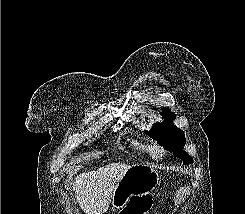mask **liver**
Wrapping results in <instances>:
<instances>
[{"mask_svg": "<svg viewBox=\"0 0 245 214\" xmlns=\"http://www.w3.org/2000/svg\"><path fill=\"white\" fill-rule=\"evenodd\" d=\"M131 167L124 163H111L75 177L73 191L85 214H102L108 210L118 182Z\"/></svg>", "mask_w": 245, "mask_h": 214, "instance_id": "obj_1", "label": "liver"}]
</instances>
